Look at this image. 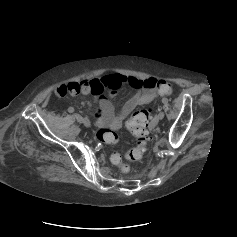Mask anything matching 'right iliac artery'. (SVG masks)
I'll use <instances>...</instances> for the list:
<instances>
[{
	"mask_svg": "<svg viewBox=\"0 0 237 237\" xmlns=\"http://www.w3.org/2000/svg\"><path fill=\"white\" fill-rule=\"evenodd\" d=\"M68 112H69V113H73V112H74V108H73V107H69V108H68Z\"/></svg>",
	"mask_w": 237,
	"mask_h": 237,
	"instance_id": "right-iliac-artery-1",
	"label": "right iliac artery"
}]
</instances>
